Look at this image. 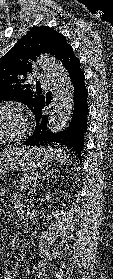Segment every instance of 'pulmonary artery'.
<instances>
[{
	"label": "pulmonary artery",
	"mask_w": 113,
	"mask_h": 279,
	"mask_svg": "<svg viewBox=\"0 0 113 279\" xmlns=\"http://www.w3.org/2000/svg\"><path fill=\"white\" fill-rule=\"evenodd\" d=\"M41 83H42L44 86H49V79H47V78H42V79H41Z\"/></svg>",
	"instance_id": "e3ab8cb5"
}]
</instances>
